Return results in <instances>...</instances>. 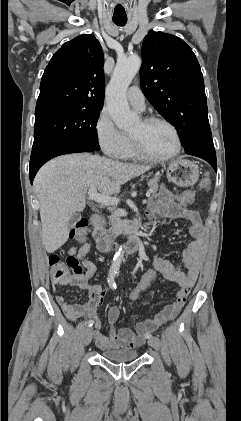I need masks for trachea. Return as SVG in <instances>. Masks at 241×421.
Masks as SVG:
<instances>
[{"label": "trachea", "instance_id": "trachea-1", "mask_svg": "<svg viewBox=\"0 0 241 421\" xmlns=\"http://www.w3.org/2000/svg\"><path fill=\"white\" fill-rule=\"evenodd\" d=\"M113 22L118 26H124L127 23V19H113Z\"/></svg>", "mask_w": 241, "mask_h": 421}]
</instances>
